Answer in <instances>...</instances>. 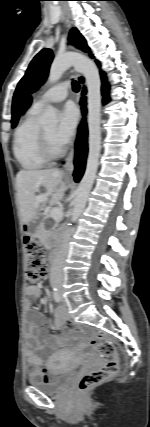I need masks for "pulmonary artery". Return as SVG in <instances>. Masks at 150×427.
<instances>
[{
  "label": "pulmonary artery",
  "mask_w": 150,
  "mask_h": 427,
  "mask_svg": "<svg viewBox=\"0 0 150 427\" xmlns=\"http://www.w3.org/2000/svg\"><path fill=\"white\" fill-rule=\"evenodd\" d=\"M69 84L67 82L59 83L46 90L35 101L33 107L41 110L49 103H57L66 99L68 95Z\"/></svg>",
  "instance_id": "pulmonary-artery-1"
}]
</instances>
